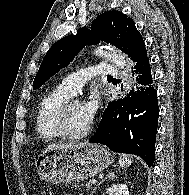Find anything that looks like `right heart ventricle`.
Listing matches in <instances>:
<instances>
[{
	"instance_id": "obj_1",
	"label": "right heart ventricle",
	"mask_w": 189,
	"mask_h": 195,
	"mask_svg": "<svg viewBox=\"0 0 189 195\" xmlns=\"http://www.w3.org/2000/svg\"><path fill=\"white\" fill-rule=\"evenodd\" d=\"M72 96L59 85L43 98L35 115V130L40 139L54 141L60 138L54 126L55 113Z\"/></svg>"
}]
</instances>
